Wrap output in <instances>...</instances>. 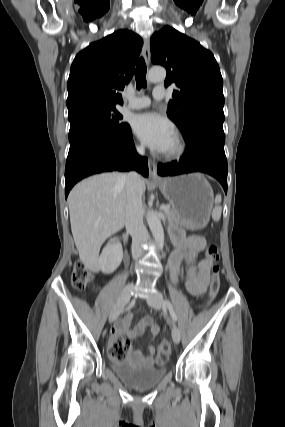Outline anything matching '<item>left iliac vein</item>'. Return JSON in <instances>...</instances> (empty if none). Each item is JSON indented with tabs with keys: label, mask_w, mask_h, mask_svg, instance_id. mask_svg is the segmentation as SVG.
Wrapping results in <instances>:
<instances>
[{
	"label": "left iliac vein",
	"mask_w": 285,
	"mask_h": 427,
	"mask_svg": "<svg viewBox=\"0 0 285 427\" xmlns=\"http://www.w3.org/2000/svg\"><path fill=\"white\" fill-rule=\"evenodd\" d=\"M147 303L155 308V309H161L163 307V297L161 293L156 292L152 294L150 297L147 298ZM181 334L179 331V328L176 325H173L172 327V339L173 341L178 344L180 342Z\"/></svg>",
	"instance_id": "1"
}]
</instances>
